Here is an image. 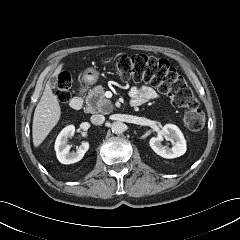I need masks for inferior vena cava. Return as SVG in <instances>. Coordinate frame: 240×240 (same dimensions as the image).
Listing matches in <instances>:
<instances>
[{"label": "inferior vena cava", "instance_id": "inferior-vena-cava-1", "mask_svg": "<svg viewBox=\"0 0 240 240\" xmlns=\"http://www.w3.org/2000/svg\"><path fill=\"white\" fill-rule=\"evenodd\" d=\"M90 120H91V123L94 125H101L104 123L105 117L104 115H101V114H95L91 116Z\"/></svg>", "mask_w": 240, "mask_h": 240}]
</instances>
